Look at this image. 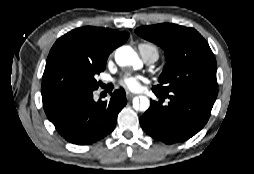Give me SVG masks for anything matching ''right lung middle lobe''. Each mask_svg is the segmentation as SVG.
<instances>
[{
	"instance_id": "obj_1",
	"label": "right lung middle lobe",
	"mask_w": 254,
	"mask_h": 174,
	"mask_svg": "<svg viewBox=\"0 0 254 174\" xmlns=\"http://www.w3.org/2000/svg\"><path fill=\"white\" fill-rule=\"evenodd\" d=\"M106 62H94L70 50L48 56L42 78V99L72 91L95 90V76L104 71Z\"/></svg>"
}]
</instances>
